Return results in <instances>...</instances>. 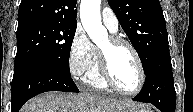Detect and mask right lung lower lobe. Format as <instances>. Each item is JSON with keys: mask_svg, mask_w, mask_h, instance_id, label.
I'll return each instance as SVG.
<instances>
[{"mask_svg": "<svg viewBox=\"0 0 193 112\" xmlns=\"http://www.w3.org/2000/svg\"><path fill=\"white\" fill-rule=\"evenodd\" d=\"M47 91L79 92L70 74L46 63H34L14 72L11 83V112L30 98Z\"/></svg>", "mask_w": 193, "mask_h": 112, "instance_id": "right-lung-lower-lobe-1", "label": "right lung lower lobe"}]
</instances>
